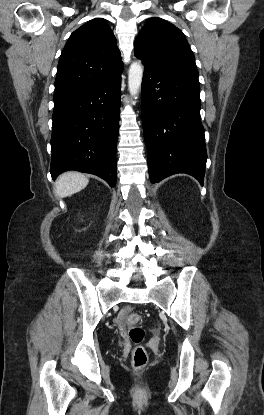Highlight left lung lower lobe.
I'll list each match as a JSON object with an SVG mask.
<instances>
[{"label": "left lung lower lobe", "instance_id": "left-lung-lower-lobe-1", "mask_svg": "<svg viewBox=\"0 0 264 415\" xmlns=\"http://www.w3.org/2000/svg\"><path fill=\"white\" fill-rule=\"evenodd\" d=\"M197 79L144 68L142 124L152 183L186 173L203 184L207 159Z\"/></svg>", "mask_w": 264, "mask_h": 415}]
</instances>
